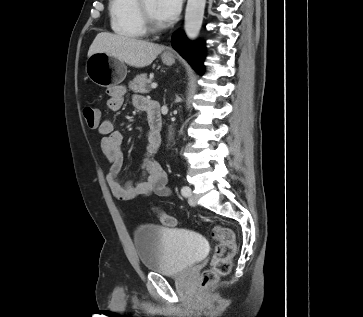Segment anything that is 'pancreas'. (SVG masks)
<instances>
[{
	"mask_svg": "<svg viewBox=\"0 0 363 317\" xmlns=\"http://www.w3.org/2000/svg\"><path fill=\"white\" fill-rule=\"evenodd\" d=\"M150 83L151 80L147 78V74H139L133 79V81L129 82V89L135 93H149Z\"/></svg>",
	"mask_w": 363,
	"mask_h": 317,
	"instance_id": "cf45deb5",
	"label": "pancreas"
}]
</instances>
